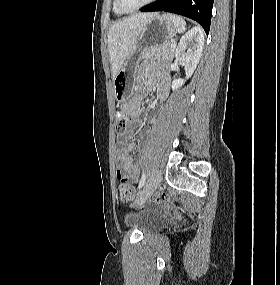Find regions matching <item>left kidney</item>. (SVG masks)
<instances>
[{"instance_id":"left-kidney-1","label":"left kidney","mask_w":280,"mask_h":285,"mask_svg":"<svg viewBox=\"0 0 280 285\" xmlns=\"http://www.w3.org/2000/svg\"><path fill=\"white\" fill-rule=\"evenodd\" d=\"M204 46V34L200 27H193L185 33L175 52L177 60L184 63L186 79H189L199 63ZM185 79H174L172 90H177L185 83Z\"/></svg>"}]
</instances>
